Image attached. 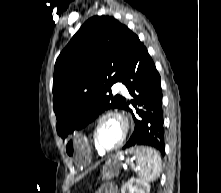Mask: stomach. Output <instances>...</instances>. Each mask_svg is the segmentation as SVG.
Instances as JSON below:
<instances>
[{
  "instance_id": "obj_1",
  "label": "stomach",
  "mask_w": 221,
  "mask_h": 193,
  "mask_svg": "<svg viewBox=\"0 0 221 193\" xmlns=\"http://www.w3.org/2000/svg\"><path fill=\"white\" fill-rule=\"evenodd\" d=\"M62 138H67L64 155H69V159H75L77 167H90L89 162L91 150H87V142L84 137H77V133H62Z\"/></svg>"
}]
</instances>
